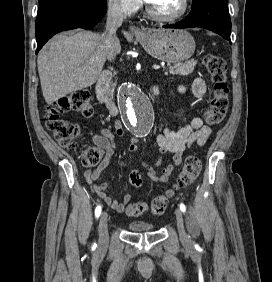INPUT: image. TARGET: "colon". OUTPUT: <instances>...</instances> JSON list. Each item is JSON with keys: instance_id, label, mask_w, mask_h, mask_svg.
<instances>
[{"instance_id": "1", "label": "colon", "mask_w": 272, "mask_h": 282, "mask_svg": "<svg viewBox=\"0 0 272 282\" xmlns=\"http://www.w3.org/2000/svg\"><path fill=\"white\" fill-rule=\"evenodd\" d=\"M207 72L213 83V97L209 107L205 111V120L208 124L220 123L229 107L228 86L226 83V64L217 55H208L204 59ZM68 112H77L83 116H91L93 106L88 91H79L75 94L62 97L52 103L46 110L45 122L53 134L56 142L63 148L73 151L76 149V140L81 136L82 131L78 124L62 117ZM101 160V150L96 145L86 148L82 152V164L85 167H94ZM201 169L200 160L191 155L186 158L183 169L178 176L176 188H185L193 183ZM129 182L133 187H139L142 179L138 173L132 172L129 175ZM171 193L155 197L148 206L144 202L132 203L125 211L129 216H140L148 210L151 214L162 216L168 207Z\"/></svg>"}]
</instances>
